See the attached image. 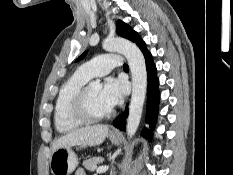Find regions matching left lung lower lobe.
<instances>
[{
    "instance_id": "obj_1",
    "label": "left lung lower lobe",
    "mask_w": 233,
    "mask_h": 175,
    "mask_svg": "<svg viewBox=\"0 0 233 175\" xmlns=\"http://www.w3.org/2000/svg\"><path fill=\"white\" fill-rule=\"evenodd\" d=\"M140 49L143 52L146 60V69L148 75V102H147L146 122L150 125L152 129L157 119L158 104H159V91H158L159 81L156 76L155 64L152 60V56L150 52L146 48V45L144 44ZM127 114L128 111L126 110L125 115L124 114L119 115L113 121L114 126L119 128L120 130H125V117L127 116ZM143 135L148 139L152 138L151 130H149L148 132L144 130Z\"/></svg>"
}]
</instances>
